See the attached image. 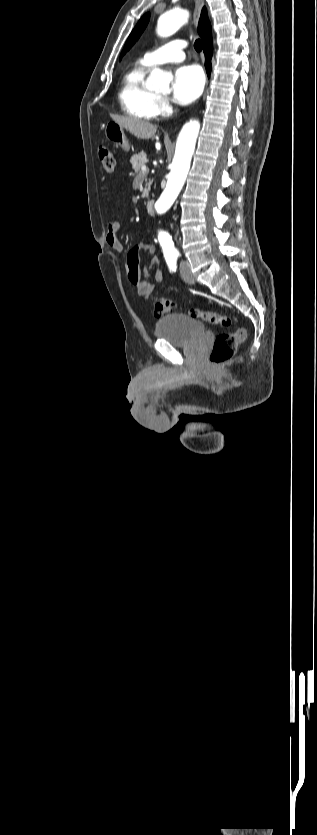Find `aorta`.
I'll use <instances>...</instances> for the list:
<instances>
[{
  "instance_id": "obj_1",
  "label": "aorta",
  "mask_w": 317,
  "mask_h": 835,
  "mask_svg": "<svg viewBox=\"0 0 317 835\" xmlns=\"http://www.w3.org/2000/svg\"><path fill=\"white\" fill-rule=\"evenodd\" d=\"M187 19L188 12L184 9L173 8L165 11L158 18L157 34L160 37L171 36L187 22ZM171 80V74L162 69L154 68L146 80V87L148 89L167 90ZM199 131V121L190 120L184 124L179 133L166 188L155 205L158 215L164 214L171 207L185 183ZM158 239L169 246L172 243L170 236L166 233L159 236Z\"/></svg>"
}]
</instances>
